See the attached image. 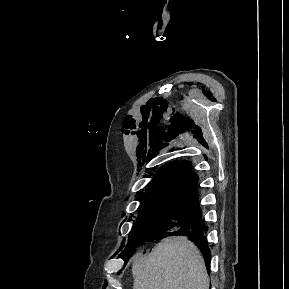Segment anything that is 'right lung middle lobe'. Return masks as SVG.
<instances>
[{
    "mask_svg": "<svg viewBox=\"0 0 289 289\" xmlns=\"http://www.w3.org/2000/svg\"><path fill=\"white\" fill-rule=\"evenodd\" d=\"M137 221L133 226L126 249L136 242L153 236H168L176 232L190 219L198 205V197L169 195L145 198Z\"/></svg>",
    "mask_w": 289,
    "mask_h": 289,
    "instance_id": "dd1d6c3e",
    "label": "right lung middle lobe"
}]
</instances>
